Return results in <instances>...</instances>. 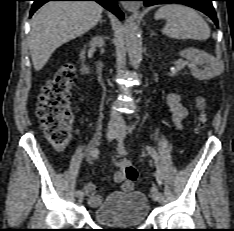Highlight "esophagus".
I'll use <instances>...</instances> for the list:
<instances>
[{"label": "esophagus", "instance_id": "1", "mask_svg": "<svg viewBox=\"0 0 234 231\" xmlns=\"http://www.w3.org/2000/svg\"><path fill=\"white\" fill-rule=\"evenodd\" d=\"M125 8L129 11H134L138 8V6H136L135 4H126Z\"/></svg>", "mask_w": 234, "mask_h": 231}]
</instances>
